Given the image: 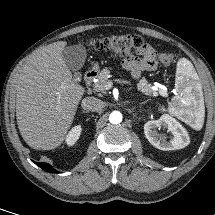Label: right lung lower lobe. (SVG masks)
I'll use <instances>...</instances> for the list:
<instances>
[{"mask_svg":"<svg viewBox=\"0 0 215 215\" xmlns=\"http://www.w3.org/2000/svg\"><path fill=\"white\" fill-rule=\"evenodd\" d=\"M35 164L37 166H39L40 168H42L43 170H45L46 172L57 173V171L54 168H52V166L50 164L40 163V162H36Z\"/></svg>","mask_w":215,"mask_h":215,"instance_id":"right-lung-lower-lobe-1","label":"right lung lower lobe"}]
</instances>
